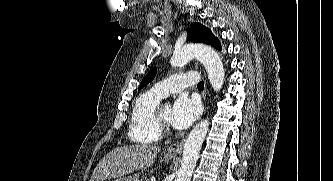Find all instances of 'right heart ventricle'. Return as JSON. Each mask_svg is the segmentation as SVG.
Wrapping results in <instances>:
<instances>
[{"mask_svg":"<svg viewBox=\"0 0 333 181\" xmlns=\"http://www.w3.org/2000/svg\"><path fill=\"white\" fill-rule=\"evenodd\" d=\"M162 98L151 90L142 93L135 100L130 121L128 135L137 144H153L161 138V131L154 122V110Z\"/></svg>","mask_w":333,"mask_h":181,"instance_id":"1","label":"right heart ventricle"}]
</instances>
